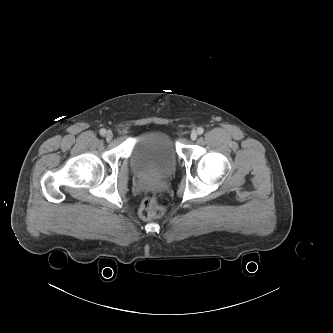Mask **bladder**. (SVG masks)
<instances>
[{
  "instance_id": "31cf9c89",
  "label": "bladder",
  "mask_w": 333,
  "mask_h": 333,
  "mask_svg": "<svg viewBox=\"0 0 333 333\" xmlns=\"http://www.w3.org/2000/svg\"><path fill=\"white\" fill-rule=\"evenodd\" d=\"M129 160L138 175L168 176L177 165V152L171 134L164 129L145 132L136 139Z\"/></svg>"
}]
</instances>
